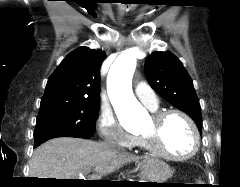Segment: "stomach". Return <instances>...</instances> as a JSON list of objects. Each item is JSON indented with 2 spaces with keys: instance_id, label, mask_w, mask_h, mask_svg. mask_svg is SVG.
Segmentation results:
<instances>
[{
  "instance_id": "obj_1",
  "label": "stomach",
  "mask_w": 240,
  "mask_h": 187,
  "mask_svg": "<svg viewBox=\"0 0 240 187\" xmlns=\"http://www.w3.org/2000/svg\"><path fill=\"white\" fill-rule=\"evenodd\" d=\"M141 169L143 178L148 180L146 182H156L150 184L164 183L172 174L167 163L155 158L145 159Z\"/></svg>"
}]
</instances>
